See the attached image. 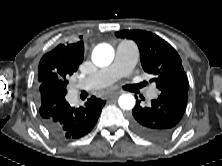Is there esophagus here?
<instances>
[{"instance_id": "34e87169", "label": "esophagus", "mask_w": 222, "mask_h": 166, "mask_svg": "<svg viewBox=\"0 0 222 166\" xmlns=\"http://www.w3.org/2000/svg\"><path fill=\"white\" fill-rule=\"evenodd\" d=\"M122 92L121 91H116V92H110L109 94H107L108 98H115L118 95H120Z\"/></svg>"}]
</instances>
